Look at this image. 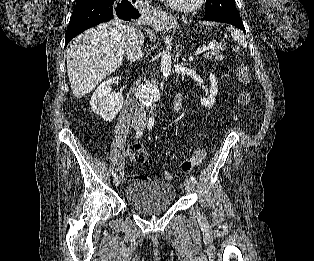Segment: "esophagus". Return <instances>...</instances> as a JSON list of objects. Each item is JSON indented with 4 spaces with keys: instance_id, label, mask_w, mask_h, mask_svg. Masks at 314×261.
Here are the masks:
<instances>
[{
    "instance_id": "1",
    "label": "esophagus",
    "mask_w": 314,
    "mask_h": 261,
    "mask_svg": "<svg viewBox=\"0 0 314 261\" xmlns=\"http://www.w3.org/2000/svg\"><path fill=\"white\" fill-rule=\"evenodd\" d=\"M153 15L160 16V15H162V12L154 10Z\"/></svg>"
}]
</instances>
